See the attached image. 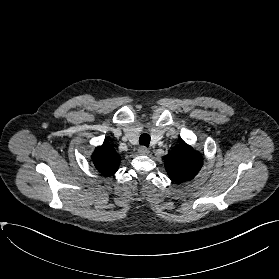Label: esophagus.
<instances>
[{
  "label": "esophagus",
  "instance_id": "obj_1",
  "mask_svg": "<svg viewBox=\"0 0 279 279\" xmlns=\"http://www.w3.org/2000/svg\"><path fill=\"white\" fill-rule=\"evenodd\" d=\"M149 152L150 151L146 147H144V146H141V147L138 148V153L140 155H148Z\"/></svg>",
  "mask_w": 279,
  "mask_h": 279
}]
</instances>
